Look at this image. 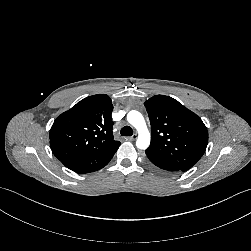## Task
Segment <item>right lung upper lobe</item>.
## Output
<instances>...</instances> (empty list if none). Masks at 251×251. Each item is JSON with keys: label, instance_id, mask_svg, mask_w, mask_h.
<instances>
[{"label": "right lung upper lobe", "instance_id": "cb5924a9", "mask_svg": "<svg viewBox=\"0 0 251 251\" xmlns=\"http://www.w3.org/2000/svg\"><path fill=\"white\" fill-rule=\"evenodd\" d=\"M112 111L110 97L99 94L81 100L62 113L49 134L54 155L80 174L107 165L120 146L113 137Z\"/></svg>", "mask_w": 251, "mask_h": 251}]
</instances>
